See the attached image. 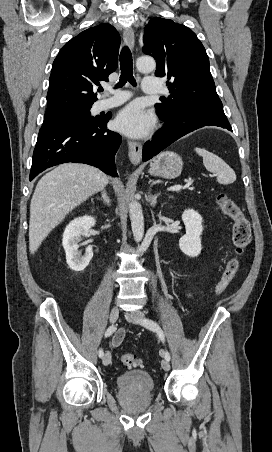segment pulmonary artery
I'll use <instances>...</instances> for the list:
<instances>
[{
    "label": "pulmonary artery",
    "mask_w": 272,
    "mask_h": 452,
    "mask_svg": "<svg viewBox=\"0 0 272 452\" xmlns=\"http://www.w3.org/2000/svg\"><path fill=\"white\" fill-rule=\"evenodd\" d=\"M160 90L159 80L154 77H146L143 79V91L146 94H156ZM129 98L127 93L119 92L110 98L101 99L96 102L95 109L102 111L116 107L124 103Z\"/></svg>",
    "instance_id": "1"
}]
</instances>
